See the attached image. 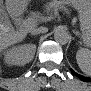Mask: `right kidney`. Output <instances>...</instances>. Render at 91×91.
<instances>
[{"label":"right kidney","instance_id":"ca27d5eb","mask_svg":"<svg viewBox=\"0 0 91 91\" xmlns=\"http://www.w3.org/2000/svg\"><path fill=\"white\" fill-rule=\"evenodd\" d=\"M35 49L36 46L30 44L12 47L4 52V60L10 65H21Z\"/></svg>","mask_w":91,"mask_h":91}]
</instances>
